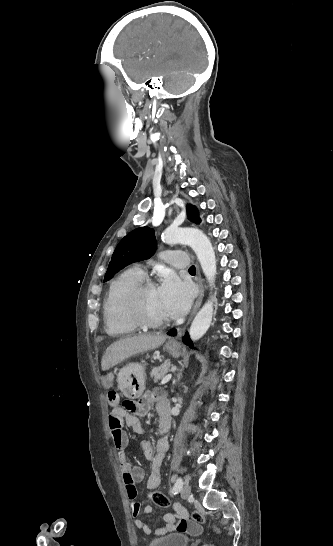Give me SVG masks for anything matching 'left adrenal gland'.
I'll return each instance as SVG.
<instances>
[{"label":"left adrenal gland","instance_id":"a2214340","mask_svg":"<svg viewBox=\"0 0 333 546\" xmlns=\"http://www.w3.org/2000/svg\"><path fill=\"white\" fill-rule=\"evenodd\" d=\"M181 377H182V370H180L179 374L177 375V380L175 381L179 382Z\"/></svg>","mask_w":333,"mask_h":546}]
</instances>
